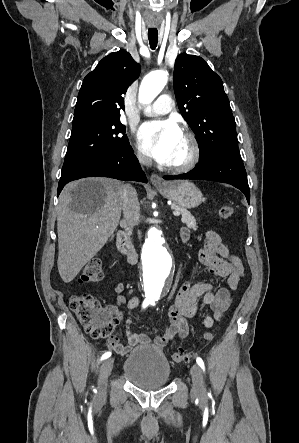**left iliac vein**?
<instances>
[{
	"label": "left iliac vein",
	"mask_w": 299,
	"mask_h": 443,
	"mask_svg": "<svg viewBox=\"0 0 299 443\" xmlns=\"http://www.w3.org/2000/svg\"><path fill=\"white\" fill-rule=\"evenodd\" d=\"M190 374L192 377V394L203 396L205 394V387L200 367L194 364Z\"/></svg>",
	"instance_id": "obj_1"
}]
</instances>
